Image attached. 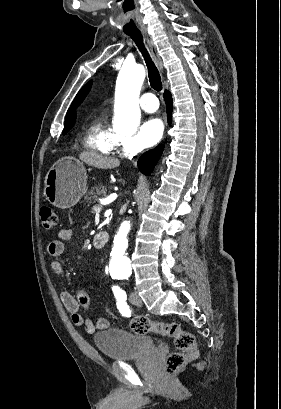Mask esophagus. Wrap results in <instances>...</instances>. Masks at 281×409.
I'll list each match as a JSON object with an SVG mask.
<instances>
[{
	"instance_id": "1",
	"label": "esophagus",
	"mask_w": 281,
	"mask_h": 409,
	"mask_svg": "<svg viewBox=\"0 0 281 409\" xmlns=\"http://www.w3.org/2000/svg\"><path fill=\"white\" fill-rule=\"evenodd\" d=\"M143 34H144V36L146 38L147 44H148V46L150 48V51L152 53V56H153L156 64L159 66L160 69H162L163 67H162L161 58L159 56V53L157 51V48H156V45H155V43L153 41L152 36L147 31H143Z\"/></svg>"
}]
</instances>
